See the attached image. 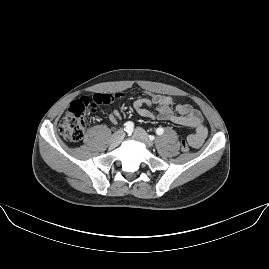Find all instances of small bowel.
I'll return each mask as SVG.
<instances>
[{"label": "small bowel", "instance_id": "1", "mask_svg": "<svg viewBox=\"0 0 269 269\" xmlns=\"http://www.w3.org/2000/svg\"><path fill=\"white\" fill-rule=\"evenodd\" d=\"M147 94L149 97L138 98L133 102V108L139 115L190 127L193 129L192 134L188 138L190 146L196 149L202 146L208 131L203 124V117L198 110L189 104H180L177 106L176 112H174L172 110V97L153 92H148ZM153 105L157 106V115L151 113L147 108ZM120 117V111L113 110L109 114L108 120L111 124H116Z\"/></svg>", "mask_w": 269, "mask_h": 269}]
</instances>
